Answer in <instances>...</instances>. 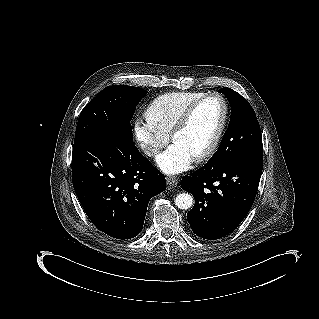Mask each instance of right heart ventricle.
I'll return each mask as SVG.
<instances>
[{
  "instance_id": "right-heart-ventricle-1",
  "label": "right heart ventricle",
  "mask_w": 319,
  "mask_h": 319,
  "mask_svg": "<svg viewBox=\"0 0 319 319\" xmlns=\"http://www.w3.org/2000/svg\"><path fill=\"white\" fill-rule=\"evenodd\" d=\"M204 93L187 91L160 96L146 114V125L164 133L169 132L183 113Z\"/></svg>"
}]
</instances>
